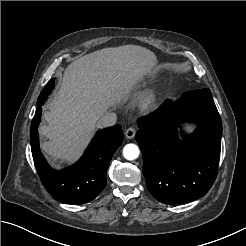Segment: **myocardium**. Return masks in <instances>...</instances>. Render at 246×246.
I'll return each instance as SVG.
<instances>
[{"instance_id":"myocardium-1","label":"myocardium","mask_w":246,"mask_h":246,"mask_svg":"<svg viewBox=\"0 0 246 246\" xmlns=\"http://www.w3.org/2000/svg\"><path fill=\"white\" fill-rule=\"evenodd\" d=\"M154 99H155V97H154V95L152 93L151 94H148L142 100V103H141L142 107L147 108V107L151 106L153 104V102H154Z\"/></svg>"}]
</instances>
